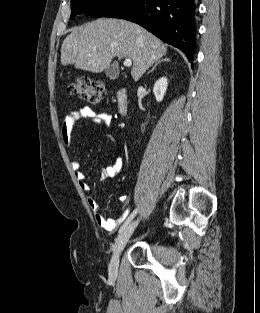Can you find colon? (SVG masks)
Wrapping results in <instances>:
<instances>
[{"label": "colon", "instance_id": "colon-1", "mask_svg": "<svg viewBox=\"0 0 260 313\" xmlns=\"http://www.w3.org/2000/svg\"><path fill=\"white\" fill-rule=\"evenodd\" d=\"M67 90L70 95L78 96L91 103H98L102 99L104 86L88 77H80L74 79Z\"/></svg>", "mask_w": 260, "mask_h": 313}]
</instances>
